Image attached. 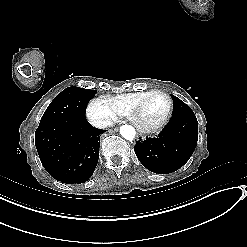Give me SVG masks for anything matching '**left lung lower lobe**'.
Listing matches in <instances>:
<instances>
[{
    "instance_id": "obj_1",
    "label": "left lung lower lobe",
    "mask_w": 247,
    "mask_h": 247,
    "mask_svg": "<svg viewBox=\"0 0 247 247\" xmlns=\"http://www.w3.org/2000/svg\"><path fill=\"white\" fill-rule=\"evenodd\" d=\"M198 140V122L193 112L173 115L156 138H146L134 146L144 167L157 174L178 170L191 157Z\"/></svg>"
}]
</instances>
